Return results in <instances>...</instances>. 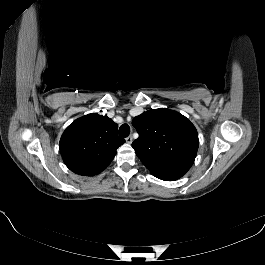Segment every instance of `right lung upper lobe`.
<instances>
[{"label":"right lung upper lobe","instance_id":"1","mask_svg":"<svg viewBox=\"0 0 265 265\" xmlns=\"http://www.w3.org/2000/svg\"><path fill=\"white\" fill-rule=\"evenodd\" d=\"M118 125L106 115L91 113L70 124L60 139L59 149L66 166L76 174L93 176L113 160L125 143L117 134Z\"/></svg>","mask_w":265,"mask_h":265}]
</instances>
